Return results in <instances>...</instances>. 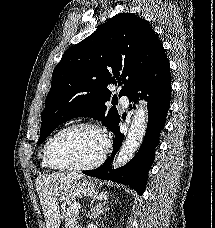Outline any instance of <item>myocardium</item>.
<instances>
[{
	"label": "myocardium",
	"instance_id": "f54148a6",
	"mask_svg": "<svg viewBox=\"0 0 215 228\" xmlns=\"http://www.w3.org/2000/svg\"><path fill=\"white\" fill-rule=\"evenodd\" d=\"M76 128H88L93 129L96 132H98L103 140H104V147L100 155L93 160L90 163L84 164V165H78V166H64V165H58L56 164L52 158H51V148L54 144V142L58 139L59 136H61L63 133L76 129ZM111 149V143L109 140V137L104 132V130L98 126L97 124L91 123V122H75L71 123L57 132H55L46 142L45 148H44V160L48 167H50L53 170H65V171H76V172H82V171H88L91 169H94L98 166H100L106 159L107 155L109 154Z\"/></svg>",
	"mask_w": 215,
	"mask_h": 228
}]
</instances>
